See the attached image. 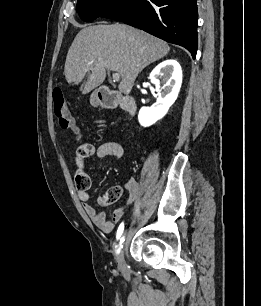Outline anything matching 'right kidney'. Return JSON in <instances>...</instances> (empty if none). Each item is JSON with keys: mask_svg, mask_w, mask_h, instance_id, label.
<instances>
[{"mask_svg": "<svg viewBox=\"0 0 261 306\" xmlns=\"http://www.w3.org/2000/svg\"><path fill=\"white\" fill-rule=\"evenodd\" d=\"M149 78L156 87L158 98L153 106L142 107L139 111L138 120L144 127L162 119L176 101L182 84V69L176 60H165L153 69Z\"/></svg>", "mask_w": 261, "mask_h": 306, "instance_id": "right-kidney-1", "label": "right kidney"}]
</instances>
